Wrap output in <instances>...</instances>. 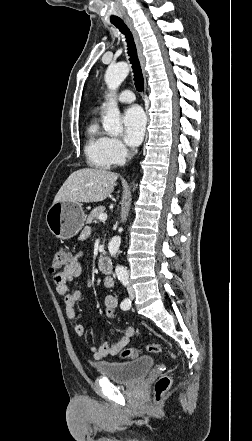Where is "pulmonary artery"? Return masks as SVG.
I'll use <instances>...</instances> for the list:
<instances>
[{
	"label": "pulmonary artery",
	"instance_id": "1",
	"mask_svg": "<svg viewBox=\"0 0 252 441\" xmlns=\"http://www.w3.org/2000/svg\"><path fill=\"white\" fill-rule=\"evenodd\" d=\"M135 100V95L132 91L126 90L123 91L117 98V101L120 103H131ZM108 106L107 102L101 104L100 108L105 109Z\"/></svg>",
	"mask_w": 252,
	"mask_h": 441
}]
</instances>
